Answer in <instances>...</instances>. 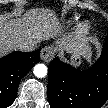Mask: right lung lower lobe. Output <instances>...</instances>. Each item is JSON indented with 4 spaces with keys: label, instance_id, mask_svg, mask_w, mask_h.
<instances>
[{
    "label": "right lung lower lobe",
    "instance_id": "right-lung-lower-lobe-1",
    "mask_svg": "<svg viewBox=\"0 0 108 108\" xmlns=\"http://www.w3.org/2000/svg\"><path fill=\"white\" fill-rule=\"evenodd\" d=\"M39 61L38 50L13 52L0 59V108L9 107L14 102L21 78Z\"/></svg>",
    "mask_w": 108,
    "mask_h": 108
}]
</instances>
